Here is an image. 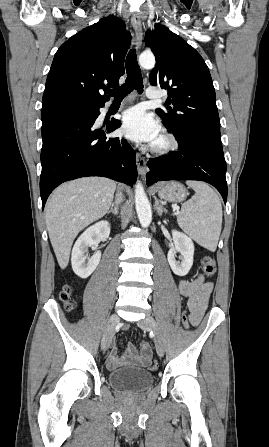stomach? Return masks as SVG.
<instances>
[{
    "label": "stomach",
    "mask_w": 269,
    "mask_h": 447,
    "mask_svg": "<svg viewBox=\"0 0 269 447\" xmlns=\"http://www.w3.org/2000/svg\"><path fill=\"white\" fill-rule=\"evenodd\" d=\"M155 190L158 192L159 198L166 202H184L187 196V190L180 182H161L156 184Z\"/></svg>",
    "instance_id": "stomach-1"
}]
</instances>
